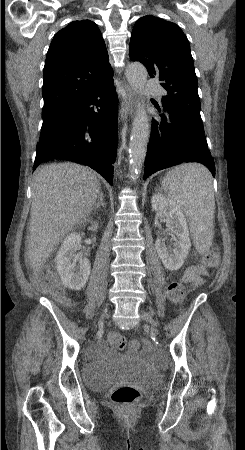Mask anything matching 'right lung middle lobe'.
Instances as JSON below:
<instances>
[{
    "instance_id": "right-lung-middle-lobe-1",
    "label": "right lung middle lobe",
    "mask_w": 245,
    "mask_h": 450,
    "mask_svg": "<svg viewBox=\"0 0 245 450\" xmlns=\"http://www.w3.org/2000/svg\"><path fill=\"white\" fill-rule=\"evenodd\" d=\"M48 113H42V118H44Z\"/></svg>"
}]
</instances>
